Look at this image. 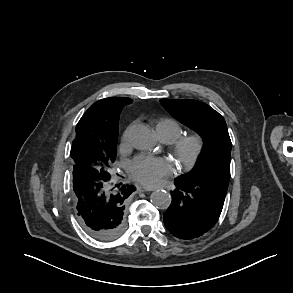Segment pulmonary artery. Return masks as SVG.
Instances as JSON below:
<instances>
[{"label": "pulmonary artery", "instance_id": "1", "mask_svg": "<svg viewBox=\"0 0 293 293\" xmlns=\"http://www.w3.org/2000/svg\"><path fill=\"white\" fill-rule=\"evenodd\" d=\"M163 142H165V143H168V141L167 140H165V139H161Z\"/></svg>", "mask_w": 293, "mask_h": 293}]
</instances>
